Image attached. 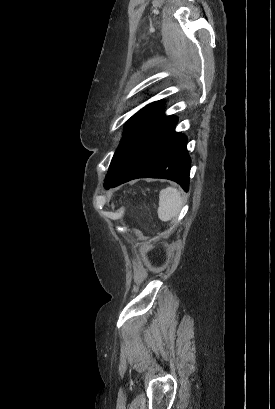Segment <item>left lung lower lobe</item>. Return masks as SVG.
Wrapping results in <instances>:
<instances>
[{
  "label": "left lung lower lobe",
  "instance_id": "1",
  "mask_svg": "<svg viewBox=\"0 0 275 409\" xmlns=\"http://www.w3.org/2000/svg\"><path fill=\"white\" fill-rule=\"evenodd\" d=\"M177 118L164 116L137 141L121 171L106 189L136 178H165L188 191L191 159L187 137L175 131Z\"/></svg>",
  "mask_w": 275,
  "mask_h": 409
}]
</instances>
